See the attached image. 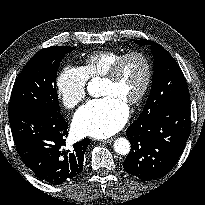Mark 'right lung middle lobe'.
Listing matches in <instances>:
<instances>
[{
    "instance_id": "right-lung-middle-lobe-1",
    "label": "right lung middle lobe",
    "mask_w": 205,
    "mask_h": 205,
    "mask_svg": "<svg viewBox=\"0 0 205 205\" xmlns=\"http://www.w3.org/2000/svg\"><path fill=\"white\" fill-rule=\"evenodd\" d=\"M74 47L52 46L37 52L18 75L11 93L9 110L32 108L60 117L55 88L57 70L64 56Z\"/></svg>"
}]
</instances>
